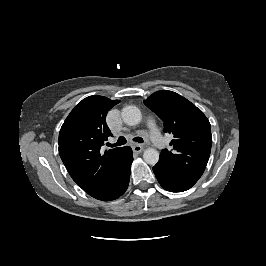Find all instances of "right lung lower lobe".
Returning a JSON list of instances; mask_svg holds the SVG:
<instances>
[{"label":"right lung lower lobe","mask_w":266,"mask_h":266,"mask_svg":"<svg viewBox=\"0 0 266 266\" xmlns=\"http://www.w3.org/2000/svg\"><path fill=\"white\" fill-rule=\"evenodd\" d=\"M132 154V149L127 146L124 152V156L118 168L116 169L115 174L113 175L109 187L96 199L102 201H111L124 194L129 184L130 168L133 161Z\"/></svg>","instance_id":"1"}]
</instances>
